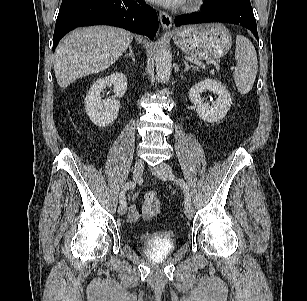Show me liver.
<instances>
[{
  "instance_id": "6515ba94",
  "label": "liver",
  "mask_w": 307,
  "mask_h": 301,
  "mask_svg": "<svg viewBox=\"0 0 307 301\" xmlns=\"http://www.w3.org/2000/svg\"><path fill=\"white\" fill-rule=\"evenodd\" d=\"M133 37L131 32L111 26L72 31L55 50L58 85L65 88L78 78L107 69L126 51Z\"/></svg>"
}]
</instances>
